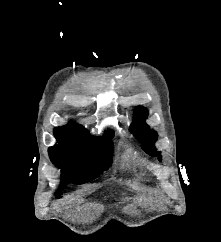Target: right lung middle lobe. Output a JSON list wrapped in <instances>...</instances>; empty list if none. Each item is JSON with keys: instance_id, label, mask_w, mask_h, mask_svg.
<instances>
[{"instance_id": "dd1d6c3e", "label": "right lung middle lobe", "mask_w": 221, "mask_h": 242, "mask_svg": "<svg viewBox=\"0 0 221 242\" xmlns=\"http://www.w3.org/2000/svg\"><path fill=\"white\" fill-rule=\"evenodd\" d=\"M54 135L58 144L48 152L51 161L62 169L63 182H90L111 166L113 136L93 141L75 134L55 132Z\"/></svg>"}]
</instances>
